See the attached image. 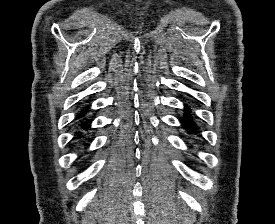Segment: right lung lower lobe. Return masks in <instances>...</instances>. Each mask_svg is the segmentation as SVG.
I'll list each match as a JSON object with an SVG mask.
<instances>
[{
	"instance_id": "1",
	"label": "right lung lower lobe",
	"mask_w": 275,
	"mask_h": 224,
	"mask_svg": "<svg viewBox=\"0 0 275 224\" xmlns=\"http://www.w3.org/2000/svg\"><path fill=\"white\" fill-rule=\"evenodd\" d=\"M86 111V110H85ZM84 115V113H82L81 115H78V117H77V119H79V127L80 128H82V129H85V128H87L88 127V123L87 122H82L81 120H80V118L82 117ZM81 136V133H79L78 135H77V138H79Z\"/></svg>"
}]
</instances>
